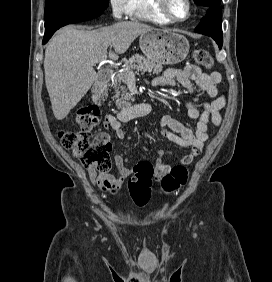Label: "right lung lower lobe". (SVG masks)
Returning a JSON list of instances; mask_svg holds the SVG:
<instances>
[{
	"mask_svg": "<svg viewBox=\"0 0 272 282\" xmlns=\"http://www.w3.org/2000/svg\"><path fill=\"white\" fill-rule=\"evenodd\" d=\"M103 13L101 10H79L70 13H63L55 15L47 20H45V35L43 39V44L51 38L56 30L63 27L69 23H76L81 21H86L100 16Z\"/></svg>",
	"mask_w": 272,
	"mask_h": 282,
	"instance_id": "right-lung-lower-lobe-1",
	"label": "right lung lower lobe"
}]
</instances>
